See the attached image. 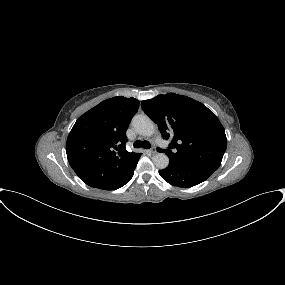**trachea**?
Wrapping results in <instances>:
<instances>
[{
  "label": "trachea",
  "instance_id": "1",
  "mask_svg": "<svg viewBox=\"0 0 285 285\" xmlns=\"http://www.w3.org/2000/svg\"><path fill=\"white\" fill-rule=\"evenodd\" d=\"M133 146L135 148H146L149 149L151 147L150 143L148 141H140V140H136L133 144Z\"/></svg>",
  "mask_w": 285,
  "mask_h": 285
}]
</instances>
